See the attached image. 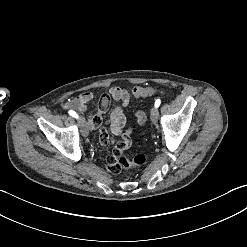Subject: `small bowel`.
Instances as JSON below:
<instances>
[{
  "label": "small bowel",
  "mask_w": 247,
  "mask_h": 247,
  "mask_svg": "<svg viewBox=\"0 0 247 247\" xmlns=\"http://www.w3.org/2000/svg\"><path fill=\"white\" fill-rule=\"evenodd\" d=\"M94 98L95 96L92 92H84L65 101L63 107L67 110L84 111ZM111 99L116 101L118 105L110 112V128L114 136L120 137L119 143L114 147V152L117 155H122L126 150H129L132 147V138L129 136L131 130L130 128L124 130L127 121L123 112V107L130 101V95L127 90L119 86H113L108 94H103L99 101V112L89 117L87 125L89 129L99 127L96 120L98 118L101 119V114L108 109ZM135 118L138 124H143L145 122V114L143 112H136ZM98 144L101 147H106L109 144V129L106 126H101L98 129ZM105 163L109 166L107 168V173L110 176H116L119 173V168L114 165L116 163V158L113 155H108L105 158Z\"/></svg>",
  "instance_id": "small-bowel-1"
}]
</instances>
